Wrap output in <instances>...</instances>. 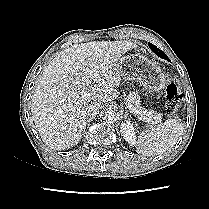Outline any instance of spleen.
Here are the masks:
<instances>
[{
	"instance_id": "1",
	"label": "spleen",
	"mask_w": 209,
	"mask_h": 209,
	"mask_svg": "<svg viewBox=\"0 0 209 209\" xmlns=\"http://www.w3.org/2000/svg\"><path fill=\"white\" fill-rule=\"evenodd\" d=\"M184 131L180 119H167L164 123L142 131L138 136L136 149L144 156L163 154L172 148Z\"/></svg>"
}]
</instances>
